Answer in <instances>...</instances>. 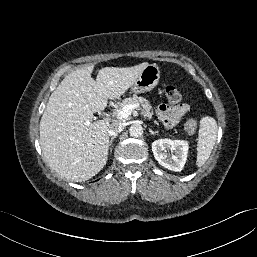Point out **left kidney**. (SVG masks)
I'll return each instance as SVG.
<instances>
[{
  "label": "left kidney",
  "instance_id": "obj_1",
  "mask_svg": "<svg viewBox=\"0 0 257 257\" xmlns=\"http://www.w3.org/2000/svg\"><path fill=\"white\" fill-rule=\"evenodd\" d=\"M189 145L184 140L159 139L152 143V151L158 163L172 171H181L186 163ZM171 151V155L166 153Z\"/></svg>",
  "mask_w": 257,
  "mask_h": 257
}]
</instances>
